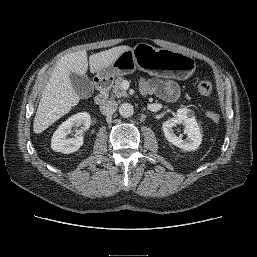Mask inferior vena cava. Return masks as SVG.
Listing matches in <instances>:
<instances>
[{"mask_svg": "<svg viewBox=\"0 0 257 257\" xmlns=\"http://www.w3.org/2000/svg\"><path fill=\"white\" fill-rule=\"evenodd\" d=\"M118 107V104L114 100H108L101 104L100 111L104 115H112Z\"/></svg>", "mask_w": 257, "mask_h": 257, "instance_id": "602c4592", "label": "inferior vena cava"}]
</instances>
